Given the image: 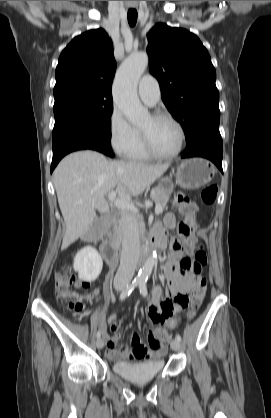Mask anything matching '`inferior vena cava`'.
Here are the masks:
<instances>
[{"mask_svg":"<svg viewBox=\"0 0 271 418\" xmlns=\"http://www.w3.org/2000/svg\"><path fill=\"white\" fill-rule=\"evenodd\" d=\"M122 251L120 266L114 278V284L130 283L137 265L140 251V239L137 224L132 217L124 213L121 217Z\"/></svg>","mask_w":271,"mask_h":418,"instance_id":"inferior-vena-cava-1","label":"inferior vena cava"}]
</instances>
